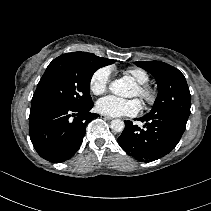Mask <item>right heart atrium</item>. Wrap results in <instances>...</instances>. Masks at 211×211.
I'll return each instance as SVG.
<instances>
[{"label":"right heart atrium","instance_id":"obj_1","mask_svg":"<svg viewBox=\"0 0 211 211\" xmlns=\"http://www.w3.org/2000/svg\"><path fill=\"white\" fill-rule=\"evenodd\" d=\"M111 82V70L109 67H101L97 69L91 76L89 88L95 95L104 93Z\"/></svg>","mask_w":211,"mask_h":211}]
</instances>
